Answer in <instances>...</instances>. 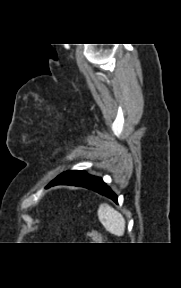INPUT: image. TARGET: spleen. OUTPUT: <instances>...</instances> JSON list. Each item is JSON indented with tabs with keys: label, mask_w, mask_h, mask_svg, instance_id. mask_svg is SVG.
Returning <instances> with one entry per match:
<instances>
[{
	"label": "spleen",
	"mask_w": 181,
	"mask_h": 288,
	"mask_svg": "<svg viewBox=\"0 0 181 288\" xmlns=\"http://www.w3.org/2000/svg\"><path fill=\"white\" fill-rule=\"evenodd\" d=\"M98 218L108 232L117 236L124 234L125 219L123 215L107 203L99 206Z\"/></svg>",
	"instance_id": "obj_1"
}]
</instances>
